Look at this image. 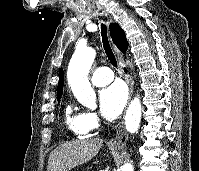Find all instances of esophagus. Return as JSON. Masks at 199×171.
Instances as JSON below:
<instances>
[{
	"instance_id": "esophagus-1",
	"label": "esophagus",
	"mask_w": 199,
	"mask_h": 171,
	"mask_svg": "<svg viewBox=\"0 0 199 171\" xmlns=\"http://www.w3.org/2000/svg\"><path fill=\"white\" fill-rule=\"evenodd\" d=\"M114 50L118 56L120 65L123 67L124 59L122 53L116 47H114ZM125 79L129 88V100H130L133 94L134 82L130 76H126ZM127 140H128V134L124 128V121L122 120L117 124L116 135L114 138L110 140L109 145L114 148H122L126 145Z\"/></svg>"
}]
</instances>
